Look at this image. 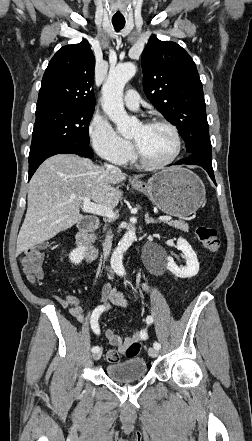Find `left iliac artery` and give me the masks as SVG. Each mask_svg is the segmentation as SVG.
Wrapping results in <instances>:
<instances>
[{
  "instance_id": "obj_1",
  "label": "left iliac artery",
  "mask_w": 252,
  "mask_h": 441,
  "mask_svg": "<svg viewBox=\"0 0 252 441\" xmlns=\"http://www.w3.org/2000/svg\"><path fill=\"white\" fill-rule=\"evenodd\" d=\"M146 322H147V324H151L153 322V317L150 316V315L147 316ZM148 336H149V333H148L147 328L146 327L140 328V330H139V339H140V341H142V342L147 341ZM153 346H154L155 349H158V350L161 348V345L158 342H154Z\"/></svg>"
}]
</instances>
